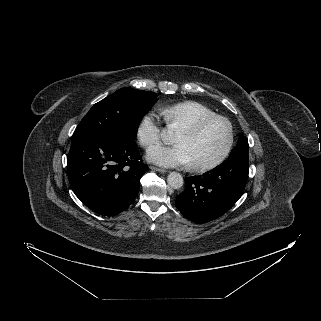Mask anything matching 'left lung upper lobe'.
<instances>
[{"instance_id": "left-lung-upper-lobe-1", "label": "left lung upper lobe", "mask_w": 321, "mask_h": 321, "mask_svg": "<svg viewBox=\"0 0 321 321\" xmlns=\"http://www.w3.org/2000/svg\"><path fill=\"white\" fill-rule=\"evenodd\" d=\"M248 153H249L248 140L245 136L240 135L238 143L236 147L231 151V154L229 157H232V156L248 157Z\"/></svg>"}]
</instances>
